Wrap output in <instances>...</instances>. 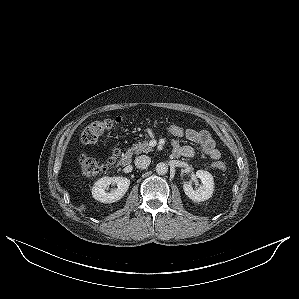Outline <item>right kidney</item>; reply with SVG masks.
Segmentation results:
<instances>
[{"label":"right kidney","mask_w":299,"mask_h":299,"mask_svg":"<svg viewBox=\"0 0 299 299\" xmlns=\"http://www.w3.org/2000/svg\"><path fill=\"white\" fill-rule=\"evenodd\" d=\"M112 183L116 184L117 188L111 192H107V187ZM129 185L130 180L126 177H102L94 184L92 188V196L102 203H113L124 196Z\"/></svg>","instance_id":"1"}]
</instances>
